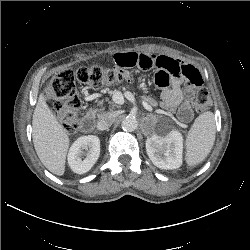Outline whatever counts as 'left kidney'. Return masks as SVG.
<instances>
[{
	"instance_id": "left-kidney-1",
	"label": "left kidney",
	"mask_w": 250,
	"mask_h": 250,
	"mask_svg": "<svg viewBox=\"0 0 250 250\" xmlns=\"http://www.w3.org/2000/svg\"><path fill=\"white\" fill-rule=\"evenodd\" d=\"M146 152L158 168H179L183 158V136L178 130H171L164 136L154 135L146 140Z\"/></svg>"
}]
</instances>
